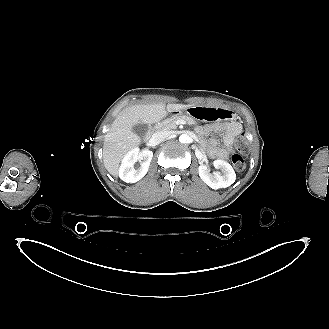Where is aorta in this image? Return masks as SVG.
Returning <instances> with one entry per match:
<instances>
[{
  "label": "aorta",
  "instance_id": "obj_1",
  "mask_svg": "<svg viewBox=\"0 0 329 329\" xmlns=\"http://www.w3.org/2000/svg\"><path fill=\"white\" fill-rule=\"evenodd\" d=\"M179 141H180L181 143L186 144V143H190L191 138H190V136L187 135V134H181L180 137H179Z\"/></svg>",
  "mask_w": 329,
  "mask_h": 329
}]
</instances>
